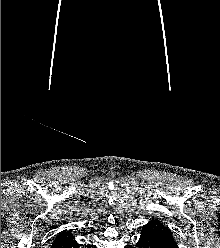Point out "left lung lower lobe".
Instances as JSON below:
<instances>
[{"label":"left lung lower lobe","mask_w":220,"mask_h":248,"mask_svg":"<svg viewBox=\"0 0 220 248\" xmlns=\"http://www.w3.org/2000/svg\"><path fill=\"white\" fill-rule=\"evenodd\" d=\"M139 248H178L177 245L166 242L150 226L145 225L138 241Z\"/></svg>","instance_id":"obj_1"}]
</instances>
